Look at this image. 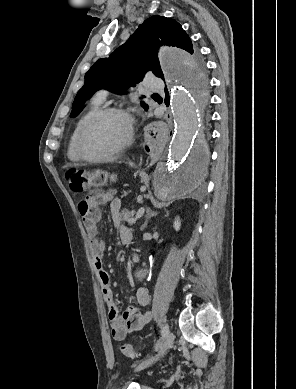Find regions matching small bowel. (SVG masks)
<instances>
[{
  "label": "small bowel",
  "mask_w": 296,
  "mask_h": 389,
  "mask_svg": "<svg viewBox=\"0 0 296 389\" xmlns=\"http://www.w3.org/2000/svg\"><path fill=\"white\" fill-rule=\"evenodd\" d=\"M107 202L110 203V213L115 226L117 227L121 240L129 242L132 240L131 231L120 224L119 212L121 200L115 196L114 190H94L85 196L78 205L82 222L90 240V247L93 253L94 265L97 271L103 298L108 306V319L111 328V335L114 340L122 341L132 332L141 330L151 319L149 312L140 313L136 305H130L121 314L116 305L113 291L110 287L108 273L102 265V254L105 250V243L98 237L97 222L100 218V207ZM138 263L139 258L133 257ZM136 301L139 306H147L150 302V293L147 288L140 287L136 292Z\"/></svg>",
  "instance_id": "obj_1"
}]
</instances>
